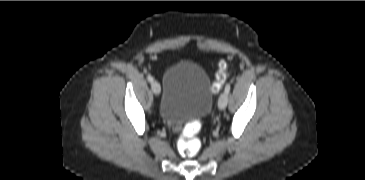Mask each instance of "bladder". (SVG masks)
Instances as JSON below:
<instances>
[{
  "label": "bladder",
  "mask_w": 365,
  "mask_h": 180,
  "mask_svg": "<svg viewBox=\"0 0 365 180\" xmlns=\"http://www.w3.org/2000/svg\"><path fill=\"white\" fill-rule=\"evenodd\" d=\"M213 101L210 77L198 63L182 60L165 72L159 105V115L164 122L181 124L203 118L210 112Z\"/></svg>",
  "instance_id": "31cf9c89"
}]
</instances>
